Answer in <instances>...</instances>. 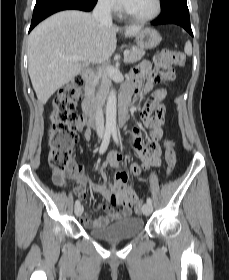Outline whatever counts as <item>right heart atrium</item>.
Listing matches in <instances>:
<instances>
[{
  "mask_svg": "<svg viewBox=\"0 0 229 280\" xmlns=\"http://www.w3.org/2000/svg\"><path fill=\"white\" fill-rule=\"evenodd\" d=\"M100 5L108 12H118V0H99Z\"/></svg>",
  "mask_w": 229,
  "mask_h": 280,
  "instance_id": "obj_1",
  "label": "right heart atrium"
}]
</instances>
